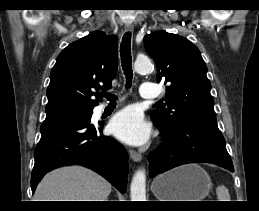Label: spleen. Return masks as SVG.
Returning a JSON list of instances; mask_svg holds the SVG:
<instances>
[{"label":"spleen","instance_id":"1","mask_svg":"<svg viewBox=\"0 0 259 211\" xmlns=\"http://www.w3.org/2000/svg\"><path fill=\"white\" fill-rule=\"evenodd\" d=\"M218 201H231L228 189L224 185H219L216 188Z\"/></svg>","mask_w":259,"mask_h":211}]
</instances>
